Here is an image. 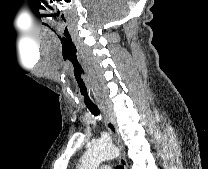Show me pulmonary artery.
I'll return each instance as SVG.
<instances>
[{
  "instance_id": "e3ab8cb5",
  "label": "pulmonary artery",
  "mask_w": 208,
  "mask_h": 169,
  "mask_svg": "<svg viewBox=\"0 0 208 169\" xmlns=\"http://www.w3.org/2000/svg\"><path fill=\"white\" fill-rule=\"evenodd\" d=\"M100 169H111V167L108 164L104 163L100 166Z\"/></svg>"
}]
</instances>
